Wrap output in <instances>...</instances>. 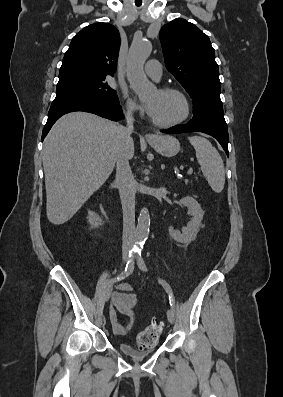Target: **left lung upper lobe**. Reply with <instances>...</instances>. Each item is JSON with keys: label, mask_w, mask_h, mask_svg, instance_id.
I'll use <instances>...</instances> for the list:
<instances>
[{"label": "left lung upper lobe", "mask_w": 283, "mask_h": 397, "mask_svg": "<svg viewBox=\"0 0 283 397\" xmlns=\"http://www.w3.org/2000/svg\"><path fill=\"white\" fill-rule=\"evenodd\" d=\"M160 41L167 70L193 99V114L224 116L219 69L209 37L194 24L177 18L161 28Z\"/></svg>", "instance_id": "1"}]
</instances>
